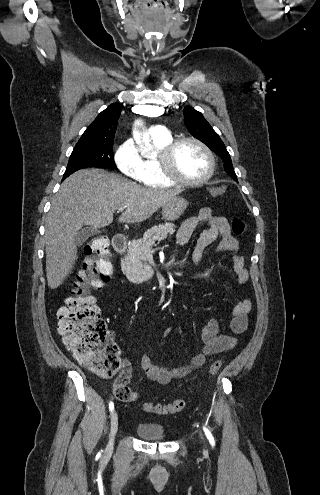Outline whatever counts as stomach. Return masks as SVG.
<instances>
[{"label": "stomach", "mask_w": 320, "mask_h": 495, "mask_svg": "<svg viewBox=\"0 0 320 495\" xmlns=\"http://www.w3.org/2000/svg\"><path fill=\"white\" fill-rule=\"evenodd\" d=\"M188 202L182 197H174L162 207V217L167 221H175L187 209Z\"/></svg>", "instance_id": "stomach-1"}]
</instances>
